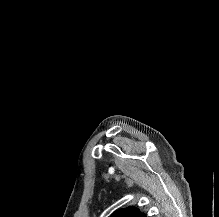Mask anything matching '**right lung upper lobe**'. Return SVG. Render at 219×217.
I'll return each instance as SVG.
<instances>
[{
	"label": "right lung upper lobe",
	"mask_w": 219,
	"mask_h": 217,
	"mask_svg": "<svg viewBox=\"0 0 219 217\" xmlns=\"http://www.w3.org/2000/svg\"><path fill=\"white\" fill-rule=\"evenodd\" d=\"M111 217H146V216L143 213H140L136 208L129 207V208L117 211Z\"/></svg>",
	"instance_id": "cb5924a9"
}]
</instances>
